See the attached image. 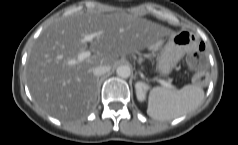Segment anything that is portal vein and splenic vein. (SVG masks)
Returning a JSON list of instances; mask_svg holds the SVG:
<instances>
[{"mask_svg":"<svg viewBox=\"0 0 238 145\" xmlns=\"http://www.w3.org/2000/svg\"><path fill=\"white\" fill-rule=\"evenodd\" d=\"M93 38H94V35L89 34V35L85 36L84 40L92 41ZM90 55H91V53L89 51L79 53L77 59H71L68 61V65H75L76 63L83 61L85 58L90 57ZM159 82L167 88H174L169 82H167L165 80H159Z\"/></svg>","mask_w":238,"mask_h":145,"instance_id":"1","label":"portal vein and splenic vein"}]
</instances>
